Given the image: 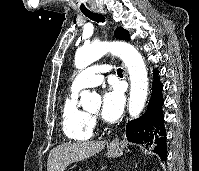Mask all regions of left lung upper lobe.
<instances>
[{
    "label": "left lung upper lobe",
    "mask_w": 199,
    "mask_h": 171,
    "mask_svg": "<svg viewBox=\"0 0 199 171\" xmlns=\"http://www.w3.org/2000/svg\"><path fill=\"white\" fill-rule=\"evenodd\" d=\"M114 34H115V37L118 39L130 40L129 32L121 27H118L115 30Z\"/></svg>",
    "instance_id": "left-lung-upper-lobe-1"
}]
</instances>
